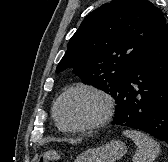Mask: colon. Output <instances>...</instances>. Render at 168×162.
Instances as JSON below:
<instances>
[{
    "mask_svg": "<svg viewBox=\"0 0 168 162\" xmlns=\"http://www.w3.org/2000/svg\"><path fill=\"white\" fill-rule=\"evenodd\" d=\"M60 159V155L56 151L48 150L39 155L37 162H56Z\"/></svg>",
    "mask_w": 168,
    "mask_h": 162,
    "instance_id": "obj_1",
    "label": "colon"
}]
</instances>
